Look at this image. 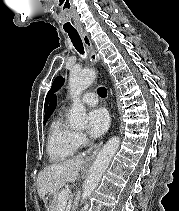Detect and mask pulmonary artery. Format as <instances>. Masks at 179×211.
<instances>
[{
    "label": "pulmonary artery",
    "mask_w": 179,
    "mask_h": 211,
    "mask_svg": "<svg viewBox=\"0 0 179 211\" xmlns=\"http://www.w3.org/2000/svg\"><path fill=\"white\" fill-rule=\"evenodd\" d=\"M81 101L89 106H94L98 103L97 95L93 92H86L83 94Z\"/></svg>",
    "instance_id": "obj_1"
}]
</instances>
